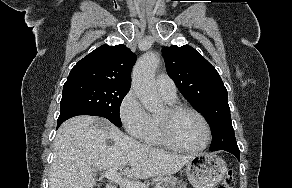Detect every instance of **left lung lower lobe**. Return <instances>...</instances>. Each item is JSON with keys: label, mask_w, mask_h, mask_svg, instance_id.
Segmentation results:
<instances>
[{"label": "left lung lower lobe", "mask_w": 292, "mask_h": 188, "mask_svg": "<svg viewBox=\"0 0 292 188\" xmlns=\"http://www.w3.org/2000/svg\"><path fill=\"white\" fill-rule=\"evenodd\" d=\"M220 150L228 151V152L232 153L233 155H235L238 160H240V150H239L237 144L236 145H231V146H228V147H223Z\"/></svg>", "instance_id": "1"}]
</instances>
